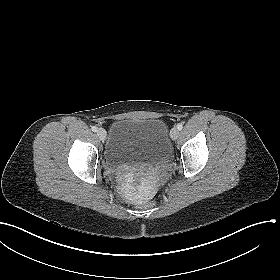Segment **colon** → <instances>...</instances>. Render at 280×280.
Returning a JSON list of instances; mask_svg holds the SVG:
<instances>
[{
  "instance_id": "obj_1",
  "label": "colon",
  "mask_w": 280,
  "mask_h": 280,
  "mask_svg": "<svg viewBox=\"0 0 280 280\" xmlns=\"http://www.w3.org/2000/svg\"><path fill=\"white\" fill-rule=\"evenodd\" d=\"M151 205H153V201H149V202L144 204V206H146V207L151 206Z\"/></svg>"
}]
</instances>
